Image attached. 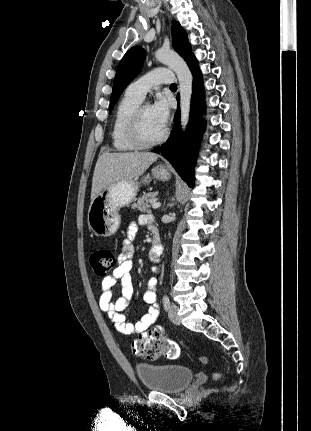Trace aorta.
<instances>
[{
    "label": "aorta",
    "mask_w": 311,
    "mask_h": 431,
    "mask_svg": "<svg viewBox=\"0 0 311 431\" xmlns=\"http://www.w3.org/2000/svg\"><path fill=\"white\" fill-rule=\"evenodd\" d=\"M155 58L157 62L169 66V68L175 72L179 80L180 124L182 132H186L192 96V74L186 62H184L176 52H172V50H157V52H155Z\"/></svg>",
    "instance_id": "762f6f07"
}]
</instances>
